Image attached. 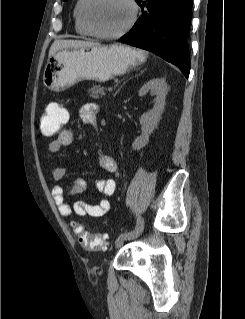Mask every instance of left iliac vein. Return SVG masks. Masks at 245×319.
<instances>
[{
  "label": "left iliac vein",
  "mask_w": 245,
  "mask_h": 319,
  "mask_svg": "<svg viewBox=\"0 0 245 319\" xmlns=\"http://www.w3.org/2000/svg\"><path fill=\"white\" fill-rule=\"evenodd\" d=\"M141 232L137 233L136 235H134L132 237L125 236L124 234L119 235L118 238L115 241V247L117 249L120 248L124 244L125 241L139 236Z\"/></svg>",
  "instance_id": "4c4485c4"
}]
</instances>
